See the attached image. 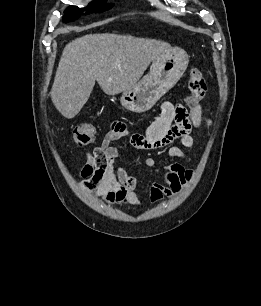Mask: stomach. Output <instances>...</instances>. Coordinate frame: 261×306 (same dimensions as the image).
<instances>
[{
    "instance_id": "0dacf381",
    "label": "stomach",
    "mask_w": 261,
    "mask_h": 306,
    "mask_svg": "<svg viewBox=\"0 0 261 306\" xmlns=\"http://www.w3.org/2000/svg\"><path fill=\"white\" fill-rule=\"evenodd\" d=\"M188 62L187 53L178 47L159 55L152 62L150 72L133 87L122 92V106L136 113L148 111L178 82Z\"/></svg>"
}]
</instances>
